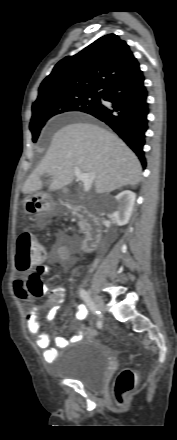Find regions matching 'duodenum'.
<instances>
[{
	"label": "duodenum",
	"mask_w": 177,
	"mask_h": 440,
	"mask_svg": "<svg viewBox=\"0 0 177 440\" xmlns=\"http://www.w3.org/2000/svg\"><path fill=\"white\" fill-rule=\"evenodd\" d=\"M66 207L84 222L87 235L82 242V249L84 252H89L101 236L99 220L86 207L72 201H68Z\"/></svg>",
	"instance_id": "410a0bca"
}]
</instances>
